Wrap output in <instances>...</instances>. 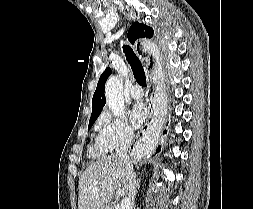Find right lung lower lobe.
I'll return each instance as SVG.
<instances>
[{"mask_svg": "<svg viewBox=\"0 0 253 209\" xmlns=\"http://www.w3.org/2000/svg\"><path fill=\"white\" fill-rule=\"evenodd\" d=\"M165 132V131H164ZM160 151V147H158V149H157V152H159Z\"/></svg>", "mask_w": 253, "mask_h": 209, "instance_id": "right-lung-lower-lobe-1", "label": "right lung lower lobe"}]
</instances>
